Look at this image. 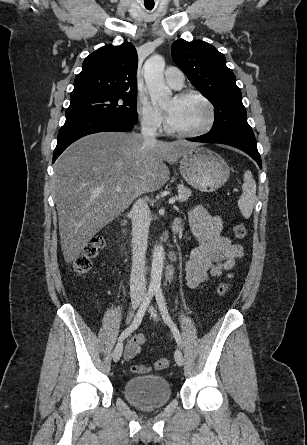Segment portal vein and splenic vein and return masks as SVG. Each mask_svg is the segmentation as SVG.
Wrapping results in <instances>:
<instances>
[{
  "label": "portal vein and splenic vein",
  "instance_id": "1",
  "mask_svg": "<svg viewBox=\"0 0 307 445\" xmlns=\"http://www.w3.org/2000/svg\"><path fill=\"white\" fill-rule=\"evenodd\" d=\"M117 190H120L121 186H116ZM176 198H169V204H174Z\"/></svg>",
  "mask_w": 307,
  "mask_h": 445
}]
</instances>
